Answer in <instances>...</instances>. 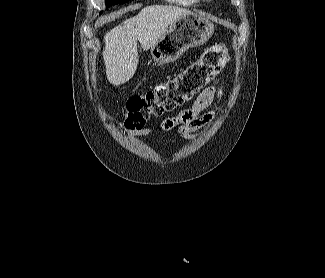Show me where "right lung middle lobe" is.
<instances>
[{"instance_id":"obj_1","label":"right lung middle lobe","mask_w":325,"mask_h":278,"mask_svg":"<svg viewBox=\"0 0 325 278\" xmlns=\"http://www.w3.org/2000/svg\"><path fill=\"white\" fill-rule=\"evenodd\" d=\"M127 1H129V0H106V4L108 6H110V5H116V4H123V3H126Z\"/></svg>"}]
</instances>
